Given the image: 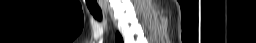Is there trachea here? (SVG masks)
<instances>
[{
    "mask_svg": "<svg viewBox=\"0 0 256 43\" xmlns=\"http://www.w3.org/2000/svg\"><path fill=\"white\" fill-rule=\"evenodd\" d=\"M90 13L93 15V17L98 20V21H102V11L101 10H92L89 9Z\"/></svg>",
    "mask_w": 256,
    "mask_h": 43,
    "instance_id": "3493384b",
    "label": "trachea"
}]
</instances>
